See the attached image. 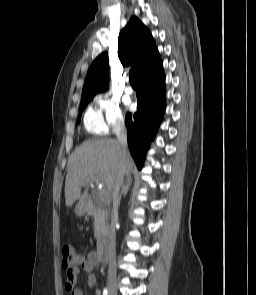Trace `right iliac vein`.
<instances>
[{
    "label": "right iliac vein",
    "instance_id": "1",
    "mask_svg": "<svg viewBox=\"0 0 256 295\" xmlns=\"http://www.w3.org/2000/svg\"><path fill=\"white\" fill-rule=\"evenodd\" d=\"M107 289L109 295H117V281L114 275H109Z\"/></svg>",
    "mask_w": 256,
    "mask_h": 295
}]
</instances>
